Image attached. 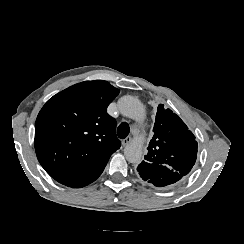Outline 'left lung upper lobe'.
Masks as SVG:
<instances>
[{
    "label": "left lung upper lobe",
    "instance_id": "left-lung-upper-lobe-1",
    "mask_svg": "<svg viewBox=\"0 0 244 244\" xmlns=\"http://www.w3.org/2000/svg\"><path fill=\"white\" fill-rule=\"evenodd\" d=\"M148 154L138 167L165 179L187 175L197 158V142L181 118L160 104Z\"/></svg>",
    "mask_w": 244,
    "mask_h": 244
}]
</instances>
